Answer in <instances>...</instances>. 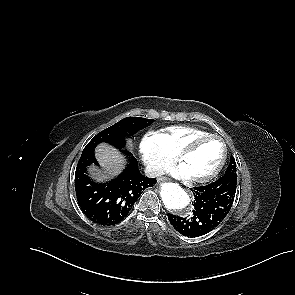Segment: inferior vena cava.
I'll use <instances>...</instances> for the list:
<instances>
[{"label":"inferior vena cava","instance_id":"obj_1","mask_svg":"<svg viewBox=\"0 0 295 295\" xmlns=\"http://www.w3.org/2000/svg\"><path fill=\"white\" fill-rule=\"evenodd\" d=\"M145 173L149 177H158L162 175L163 170L157 165H147L145 167Z\"/></svg>","mask_w":295,"mask_h":295}]
</instances>
